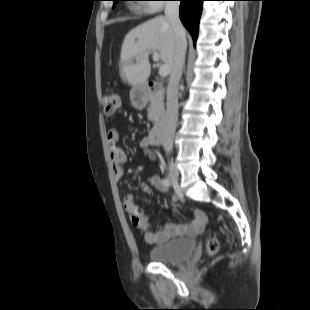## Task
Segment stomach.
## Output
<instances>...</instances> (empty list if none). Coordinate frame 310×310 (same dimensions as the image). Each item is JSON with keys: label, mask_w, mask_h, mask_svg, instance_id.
<instances>
[{"label": "stomach", "mask_w": 310, "mask_h": 310, "mask_svg": "<svg viewBox=\"0 0 310 310\" xmlns=\"http://www.w3.org/2000/svg\"><path fill=\"white\" fill-rule=\"evenodd\" d=\"M130 99L132 104L137 107H143L147 102V92L141 85H136L130 90Z\"/></svg>", "instance_id": "1"}]
</instances>
